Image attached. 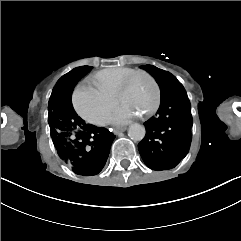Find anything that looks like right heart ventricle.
I'll return each instance as SVG.
<instances>
[{
  "mask_svg": "<svg viewBox=\"0 0 241 241\" xmlns=\"http://www.w3.org/2000/svg\"><path fill=\"white\" fill-rule=\"evenodd\" d=\"M133 71V69L127 67H108L87 77L82 82L81 86L89 87V84H95L102 92L109 91L112 93L119 88V84L122 82L123 77ZM104 98L107 97L104 95Z\"/></svg>",
  "mask_w": 241,
  "mask_h": 241,
  "instance_id": "right-heart-ventricle-1",
  "label": "right heart ventricle"
}]
</instances>
